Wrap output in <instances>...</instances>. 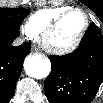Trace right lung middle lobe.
Segmentation results:
<instances>
[{
  "label": "right lung middle lobe",
  "mask_w": 103,
  "mask_h": 103,
  "mask_svg": "<svg viewBox=\"0 0 103 103\" xmlns=\"http://www.w3.org/2000/svg\"><path fill=\"white\" fill-rule=\"evenodd\" d=\"M28 14V9L0 8V29L19 34L20 25Z\"/></svg>",
  "instance_id": "1"
}]
</instances>
